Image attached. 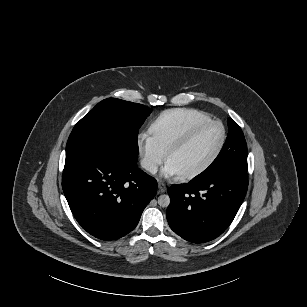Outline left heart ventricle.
I'll list each match as a JSON object with an SVG mask.
<instances>
[{
    "label": "left heart ventricle",
    "mask_w": 307,
    "mask_h": 307,
    "mask_svg": "<svg viewBox=\"0 0 307 307\" xmlns=\"http://www.w3.org/2000/svg\"><path fill=\"white\" fill-rule=\"evenodd\" d=\"M223 136V126L213 124L202 131L190 145L172 155L169 163L179 175L193 171L211 158L220 146Z\"/></svg>",
    "instance_id": "obj_1"
}]
</instances>
